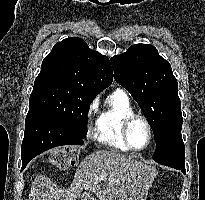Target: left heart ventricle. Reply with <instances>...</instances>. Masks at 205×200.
<instances>
[{
  "instance_id": "left-heart-ventricle-1",
  "label": "left heart ventricle",
  "mask_w": 205,
  "mask_h": 200,
  "mask_svg": "<svg viewBox=\"0 0 205 200\" xmlns=\"http://www.w3.org/2000/svg\"><path fill=\"white\" fill-rule=\"evenodd\" d=\"M129 137L134 147H144L149 138L148 129L145 123L141 120H136L130 127Z\"/></svg>"
}]
</instances>
